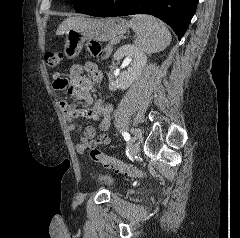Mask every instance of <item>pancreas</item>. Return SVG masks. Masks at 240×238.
I'll return each instance as SVG.
<instances>
[{"label": "pancreas", "instance_id": "obj_1", "mask_svg": "<svg viewBox=\"0 0 240 238\" xmlns=\"http://www.w3.org/2000/svg\"><path fill=\"white\" fill-rule=\"evenodd\" d=\"M118 42L119 39H113L106 45V47L104 48L103 59H107L111 55L113 45H116Z\"/></svg>", "mask_w": 240, "mask_h": 238}]
</instances>
